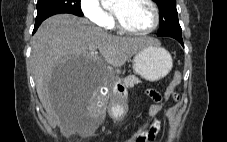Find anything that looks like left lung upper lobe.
Here are the masks:
<instances>
[{"instance_id":"5c2ea615","label":"left lung upper lobe","mask_w":227,"mask_h":142,"mask_svg":"<svg viewBox=\"0 0 227 142\" xmlns=\"http://www.w3.org/2000/svg\"><path fill=\"white\" fill-rule=\"evenodd\" d=\"M160 9L159 35L173 34L182 36V30L178 21L176 0H155Z\"/></svg>"}]
</instances>
